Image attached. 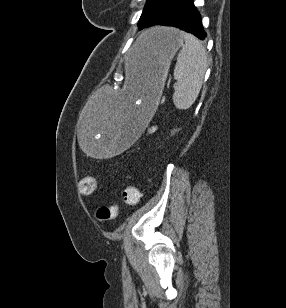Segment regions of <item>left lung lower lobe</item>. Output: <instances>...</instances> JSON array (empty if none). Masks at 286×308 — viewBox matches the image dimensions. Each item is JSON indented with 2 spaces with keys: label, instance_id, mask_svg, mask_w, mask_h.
I'll return each mask as SVG.
<instances>
[{
  "label": "left lung lower lobe",
  "instance_id": "left-lung-lower-lobe-1",
  "mask_svg": "<svg viewBox=\"0 0 286 308\" xmlns=\"http://www.w3.org/2000/svg\"><path fill=\"white\" fill-rule=\"evenodd\" d=\"M168 25L192 33L203 40L206 33L203 30L200 14L193 0H172L151 23L152 25Z\"/></svg>",
  "mask_w": 286,
  "mask_h": 308
}]
</instances>
